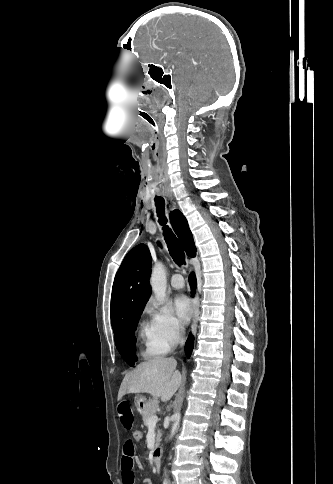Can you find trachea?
I'll return each mask as SVG.
<instances>
[{
	"label": "trachea",
	"mask_w": 333,
	"mask_h": 484,
	"mask_svg": "<svg viewBox=\"0 0 333 484\" xmlns=\"http://www.w3.org/2000/svg\"><path fill=\"white\" fill-rule=\"evenodd\" d=\"M147 117L143 116L148 122H150L152 125H154V121L153 119L147 115ZM155 139L157 140L156 141V147H155V152L157 155V158L158 159H161L162 156L165 154L166 152V147H165V139H164V132L163 131H160V130H156L155 131ZM156 171L157 172H160L161 171V165L160 164H157L156 165ZM157 196L158 197H155V205L157 207V215L159 217V223L160 225L163 226V230H164V237H165V241H166V244H167V247H168V250L170 252V255L171 257L173 258L174 262L180 267L182 265H185L186 264V261H185V253H184V250H183V247L181 245V243L179 242V240L177 239V237L174 235V233L171 231V229L166 225L167 223V219L164 215V199L161 197L162 196V193L161 192H158L157 193Z\"/></svg>",
	"instance_id": "obj_1"
}]
</instances>
